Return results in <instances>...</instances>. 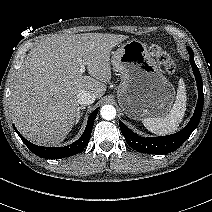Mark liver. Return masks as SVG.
Instances as JSON below:
<instances>
[{
    "label": "liver",
    "mask_w": 212,
    "mask_h": 212,
    "mask_svg": "<svg viewBox=\"0 0 212 212\" xmlns=\"http://www.w3.org/2000/svg\"><path fill=\"white\" fill-rule=\"evenodd\" d=\"M128 36L86 33L40 41L18 69L10 111L18 131L38 145L61 143L77 116V95L101 98L111 80V50ZM81 58L89 76L80 71Z\"/></svg>",
    "instance_id": "obj_1"
}]
</instances>
